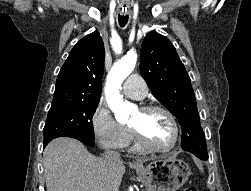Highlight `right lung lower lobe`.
Instances as JSON below:
<instances>
[{"mask_svg": "<svg viewBox=\"0 0 251 191\" xmlns=\"http://www.w3.org/2000/svg\"><path fill=\"white\" fill-rule=\"evenodd\" d=\"M65 137H71V138H75V139H78L79 141H81L82 143H84L85 145H89V146H93L94 145V139L92 138H88V137H85V136H81V135H78V134H66L64 135ZM49 143V142H48ZM48 143H44L43 144V149L46 147V145Z\"/></svg>", "mask_w": 251, "mask_h": 191, "instance_id": "98d812e1", "label": "right lung lower lobe"}]
</instances>
